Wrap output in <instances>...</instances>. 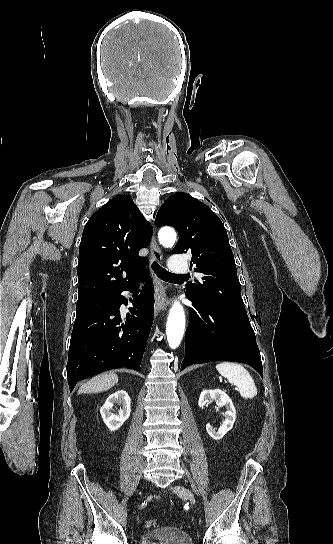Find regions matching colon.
Returning <instances> with one entry per match:
<instances>
[{
  "mask_svg": "<svg viewBox=\"0 0 333 544\" xmlns=\"http://www.w3.org/2000/svg\"><path fill=\"white\" fill-rule=\"evenodd\" d=\"M157 526L156 520H148L145 522V527L148 529L155 528Z\"/></svg>",
  "mask_w": 333,
  "mask_h": 544,
  "instance_id": "colon-1",
  "label": "colon"
}]
</instances>
